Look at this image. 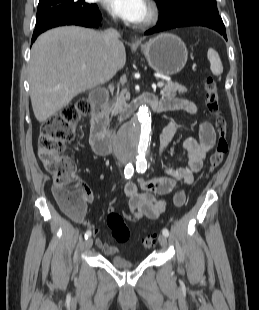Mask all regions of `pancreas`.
<instances>
[{"mask_svg": "<svg viewBox=\"0 0 259 310\" xmlns=\"http://www.w3.org/2000/svg\"><path fill=\"white\" fill-rule=\"evenodd\" d=\"M187 91L186 87L172 81L167 82L165 87L161 90L163 97H175L177 93L182 94ZM130 99V94L126 89H123L116 102L112 105L111 112L113 114H121L126 117L127 114V101Z\"/></svg>", "mask_w": 259, "mask_h": 310, "instance_id": "cf45deb5", "label": "pancreas"}]
</instances>
